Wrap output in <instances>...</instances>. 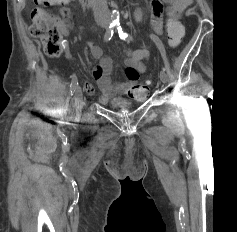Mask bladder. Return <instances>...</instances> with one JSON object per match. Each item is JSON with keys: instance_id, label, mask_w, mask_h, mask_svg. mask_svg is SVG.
<instances>
[{"instance_id": "obj_1", "label": "bladder", "mask_w": 237, "mask_h": 232, "mask_svg": "<svg viewBox=\"0 0 237 232\" xmlns=\"http://www.w3.org/2000/svg\"><path fill=\"white\" fill-rule=\"evenodd\" d=\"M129 106V103H115L113 104V107L115 108H123Z\"/></svg>"}]
</instances>
